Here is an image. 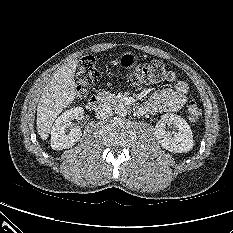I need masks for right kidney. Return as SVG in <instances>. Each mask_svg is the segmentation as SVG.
<instances>
[{
	"label": "right kidney",
	"instance_id": "1",
	"mask_svg": "<svg viewBox=\"0 0 233 233\" xmlns=\"http://www.w3.org/2000/svg\"><path fill=\"white\" fill-rule=\"evenodd\" d=\"M84 110L82 107L72 108L60 115L51 131V147L54 150H62L72 147L79 141L82 132L78 127H72L71 121L81 119Z\"/></svg>",
	"mask_w": 233,
	"mask_h": 233
}]
</instances>
